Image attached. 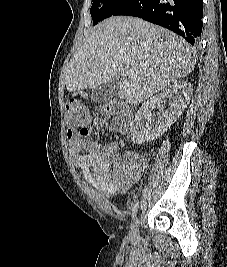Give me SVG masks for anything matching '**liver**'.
Segmentation results:
<instances>
[{"label": "liver", "instance_id": "liver-1", "mask_svg": "<svg viewBox=\"0 0 227 267\" xmlns=\"http://www.w3.org/2000/svg\"><path fill=\"white\" fill-rule=\"evenodd\" d=\"M195 50L175 33L142 19L111 17L93 28L66 74L69 92L118 80V96L138 104L195 68ZM126 69L136 78H121Z\"/></svg>", "mask_w": 227, "mask_h": 267}]
</instances>
